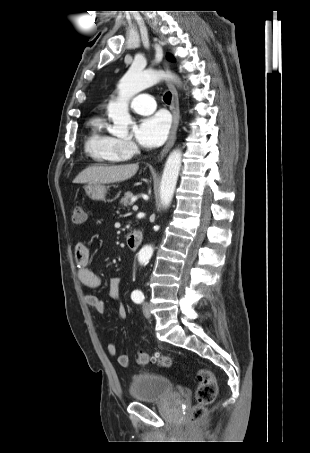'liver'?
Instances as JSON below:
<instances>
[{
  "label": "liver",
  "instance_id": "1",
  "mask_svg": "<svg viewBox=\"0 0 310 453\" xmlns=\"http://www.w3.org/2000/svg\"><path fill=\"white\" fill-rule=\"evenodd\" d=\"M138 169V164L88 166L76 176L73 183L108 184L122 182L133 177Z\"/></svg>",
  "mask_w": 310,
  "mask_h": 453
}]
</instances>
